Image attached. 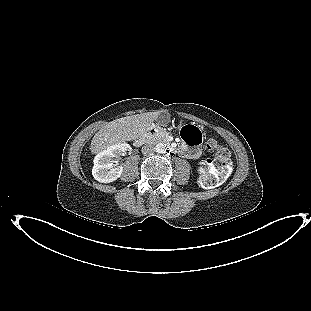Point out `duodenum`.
Here are the masks:
<instances>
[{
    "instance_id": "obj_1",
    "label": "duodenum",
    "mask_w": 311,
    "mask_h": 311,
    "mask_svg": "<svg viewBox=\"0 0 311 311\" xmlns=\"http://www.w3.org/2000/svg\"><path fill=\"white\" fill-rule=\"evenodd\" d=\"M152 139H165L169 143L167 136L164 135L158 128L150 127L140 137L134 140V144L135 146H141ZM175 150L176 149L171 146V151L174 152Z\"/></svg>"
}]
</instances>
